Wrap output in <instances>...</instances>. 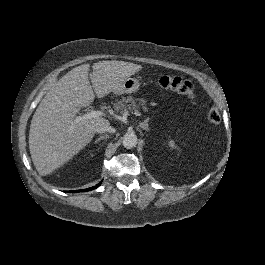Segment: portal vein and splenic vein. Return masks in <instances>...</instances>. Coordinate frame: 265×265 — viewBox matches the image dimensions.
I'll return each instance as SVG.
<instances>
[{
  "label": "portal vein and splenic vein",
  "mask_w": 265,
  "mask_h": 265,
  "mask_svg": "<svg viewBox=\"0 0 265 265\" xmlns=\"http://www.w3.org/2000/svg\"><path fill=\"white\" fill-rule=\"evenodd\" d=\"M103 113L101 111H95V110H91L90 112L84 114L83 116H78L75 118V121L77 123H79L80 121L82 120H88V119H92V118H96V117H99L101 116ZM133 115L134 116H138V117H141L142 116V113L139 111V110H136L133 112Z\"/></svg>",
  "instance_id": "obj_1"
}]
</instances>
